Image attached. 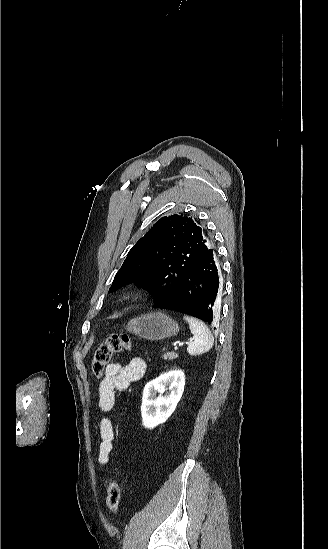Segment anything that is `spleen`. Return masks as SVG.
I'll list each match as a JSON object with an SVG mask.
<instances>
[{"mask_svg": "<svg viewBox=\"0 0 328 549\" xmlns=\"http://www.w3.org/2000/svg\"><path fill=\"white\" fill-rule=\"evenodd\" d=\"M183 319L189 323V329L192 335H194L192 343H189L187 347V353L193 355V357L208 353V351L212 349L214 343L210 329H208L205 323H202L199 319H195V317L184 315Z\"/></svg>", "mask_w": 328, "mask_h": 549, "instance_id": "1", "label": "spleen"}]
</instances>
